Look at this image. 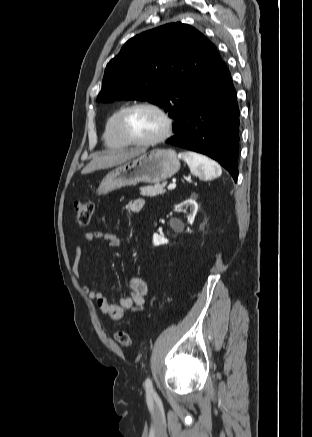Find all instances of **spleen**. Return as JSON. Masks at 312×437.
<instances>
[{
  "instance_id": "obj_1",
  "label": "spleen",
  "mask_w": 312,
  "mask_h": 437,
  "mask_svg": "<svg viewBox=\"0 0 312 437\" xmlns=\"http://www.w3.org/2000/svg\"><path fill=\"white\" fill-rule=\"evenodd\" d=\"M178 156L188 164L192 174L201 179L210 180L222 174L219 164L202 154L187 151L179 153Z\"/></svg>"
}]
</instances>
